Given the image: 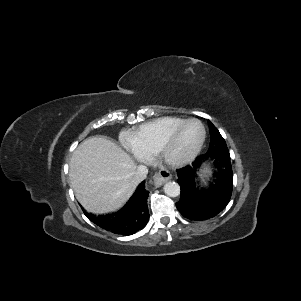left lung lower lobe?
<instances>
[{
  "label": "left lung lower lobe",
  "mask_w": 301,
  "mask_h": 301,
  "mask_svg": "<svg viewBox=\"0 0 301 301\" xmlns=\"http://www.w3.org/2000/svg\"><path fill=\"white\" fill-rule=\"evenodd\" d=\"M211 165L213 174L209 181H200V171ZM181 188L176 203L179 212L190 220H207L221 212L229 203L233 188V172L229 152L198 157L191 166L177 170Z\"/></svg>",
  "instance_id": "0a47b994"
}]
</instances>
